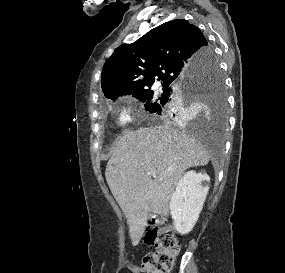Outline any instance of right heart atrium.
<instances>
[{
    "label": "right heart atrium",
    "mask_w": 285,
    "mask_h": 273,
    "mask_svg": "<svg viewBox=\"0 0 285 273\" xmlns=\"http://www.w3.org/2000/svg\"><path fill=\"white\" fill-rule=\"evenodd\" d=\"M133 109L130 106H124L118 113V124L121 127H127L133 121Z\"/></svg>",
    "instance_id": "d8ad5b80"
}]
</instances>
